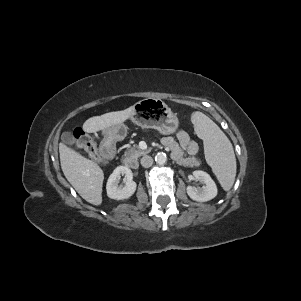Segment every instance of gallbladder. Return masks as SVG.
<instances>
[{
  "instance_id": "gallbladder-1",
  "label": "gallbladder",
  "mask_w": 301,
  "mask_h": 301,
  "mask_svg": "<svg viewBox=\"0 0 301 301\" xmlns=\"http://www.w3.org/2000/svg\"><path fill=\"white\" fill-rule=\"evenodd\" d=\"M61 140L68 145H73L75 143V138L70 132H63Z\"/></svg>"
}]
</instances>
